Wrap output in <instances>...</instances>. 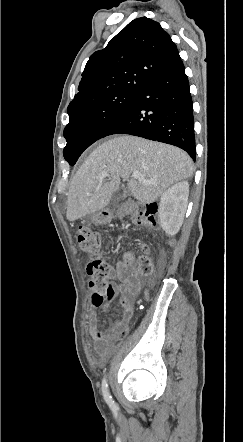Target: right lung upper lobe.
Returning a JSON list of instances; mask_svg holds the SVG:
<instances>
[{"instance_id": "cb5924a9", "label": "right lung upper lobe", "mask_w": 243, "mask_h": 442, "mask_svg": "<svg viewBox=\"0 0 243 442\" xmlns=\"http://www.w3.org/2000/svg\"><path fill=\"white\" fill-rule=\"evenodd\" d=\"M177 54L158 22L146 17L131 21L103 50L91 55L68 114L119 91H138Z\"/></svg>"}]
</instances>
